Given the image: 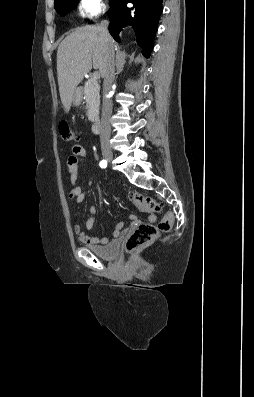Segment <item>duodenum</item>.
Segmentation results:
<instances>
[{
  "instance_id": "duodenum-1",
  "label": "duodenum",
  "mask_w": 254,
  "mask_h": 397,
  "mask_svg": "<svg viewBox=\"0 0 254 397\" xmlns=\"http://www.w3.org/2000/svg\"><path fill=\"white\" fill-rule=\"evenodd\" d=\"M101 123L99 119H95L92 123V132L97 134L100 131Z\"/></svg>"
}]
</instances>
